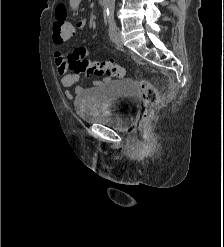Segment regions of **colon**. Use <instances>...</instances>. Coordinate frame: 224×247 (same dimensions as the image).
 I'll use <instances>...</instances> for the list:
<instances>
[{
    "label": "colon",
    "mask_w": 224,
    "mask_h": 247,
    "mask_svg": "<svg viewBox=\"0 0 224 247\" xmlns=\"http://www.w3.org/2000/svg\"><path fill=\"white\" fill-rule=\"evenodd\" d=\"M76 34L73 23L68 18L67 8L64 4L57 6L53 23V36L61 40H70ZM85 48L75 49L68 58V66L76 74L87 76H113L123 77L122 67L110 61H90L86 58ZM142 101L146 108L143 123H147L153 115V108L158 103V92L147 80L140 83Z\"/></svg>",
    "instance_id": "1"
}]
</instances>
